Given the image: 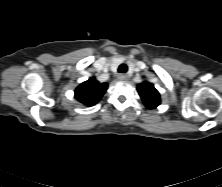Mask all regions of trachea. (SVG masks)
I'll return each instance as SVG.
<instances>
[{"mask_svg": "<svg viewBox=\"0 0 222 187\" xmlns=\"http://www.w3.org/2000/svg\"><path fill=\"white\" fill-rule=\"evenodd\" d=\"M127 70H128V67H127L126 64H121V65L119 66V68H118V72H119V73H126Z\"/></svg>", "mask_w": 222, "mask_h": 187, "instance_id": "obj_1", "label": "trachea"}]
</instances>
